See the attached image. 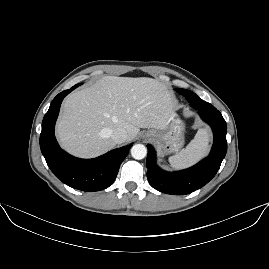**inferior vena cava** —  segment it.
<instances>
[{
	"label": "inferior vena cava",
	"instance_id": "inferior-vena-cava-1",
	"mask_svg": "<svg viewBox=\"0 0 269 269\" xmlns=\"http://www.w3.org/2000/svg\"><path fill=\"white\" fill-rule=\"evenodd\" d=\"M111 138L115 143H123L127 139V131L124 128H116L114 129Z\"/></svg>",
	"mask_w": 269,
	"mask_h": 269
}]
</instances>
